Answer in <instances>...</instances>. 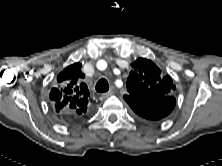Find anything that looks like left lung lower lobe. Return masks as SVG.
Masks as SVG:
<instances>
[{
	"mask_svg": "<svg viewBox=\"0 0 222 166\" xmlns=\"http://www.w3.org/2000/svg\"><path fill=\"white\" fill-rule=\"evenodd\" d=\"M175 104H176V99L172 96H167L163 98L162 106L159 107L158 111L156 110L150 111L148 112V114L147 113L143 114V117H139V116L138 117L147 121L161 120L171 113Z\"/></svg>",
	"mask_w": 222,
	"mask_h": 166,
	"instance_id": "0a47b994",
	"label": "left lung lower lobe"
}]
</instances>
